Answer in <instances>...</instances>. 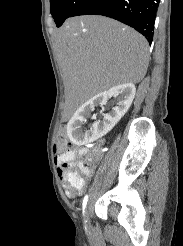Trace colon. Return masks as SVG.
I'll list each match as a JSON object with an SVG mask.
<instances>
[{
  "instance_id": "colon-1",
  "label": "colon",
  "mask_w": 183,
  "mask_h": 246,
  "mask_svg": "<svg viewBox=\"0 0 183 246\" xmlns=\"http://www.w3.org/2000/svg\"><path fill=\"white\" fill-rule=\"evenodd\" d=\"M71 143L65 126H60L57 131L56 141L54 144V152L58 156L66 154L70 149ZM61 168L66 172L70 191L75 194L83 186L85 177L89 174L87 165H80L78 169H70L68 162H63Z\"/></svg>"
}]
</instances>
